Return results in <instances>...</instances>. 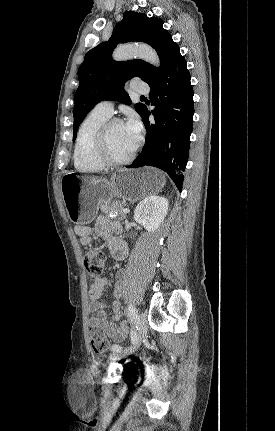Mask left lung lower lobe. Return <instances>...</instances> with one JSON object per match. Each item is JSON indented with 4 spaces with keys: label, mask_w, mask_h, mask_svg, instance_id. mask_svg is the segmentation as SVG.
I'll return each mask as SVG.
<instances>
[{
    "label": "left lung lower lobe",
    "mask_w": 275,
    "mask_h": 431,
    "mask_svg": "<svg viewBox=\"0 0 275 431\" xmlns=\"http://www.w3.org/2000/svg\"><path fill=\"white\" fill-rule=\"evenodd\" d=\"M190 78L186 60L176 45L160 73L148 82L149 98L155 108L152 112L147 107L144 110L142 119L147 131L145 146L128 166L160 168L168 173L179 190L184 179L193 125V88ZM151 113L155 117V124L148 120Z\"/></svg>",
    "instance_id": "left-lung-lower-lobe-1"
}]
</instances>
